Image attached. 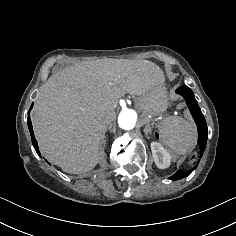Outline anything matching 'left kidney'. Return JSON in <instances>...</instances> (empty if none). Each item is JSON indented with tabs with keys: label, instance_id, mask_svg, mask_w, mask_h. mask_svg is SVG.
Returning a JSON list of instances; mask_svg holds the SVG:
<instances>
[{
	"label": "left kidney",
	"instance_id": "obj_1",
	"mask_svg": "<svg viewBox=\"0 0 236 236\" xmlns=\"http://www.w3.org/2000/svg\"><path fill=\"white\" fill-rule=\"evenodd\" d=\"M151 148L156 165L160 168L167 167L170 162L169 154L158 143H152Z\"/></svg>",
	"mask_w": 236,
	"mask_h": 236
}]
</instances>
